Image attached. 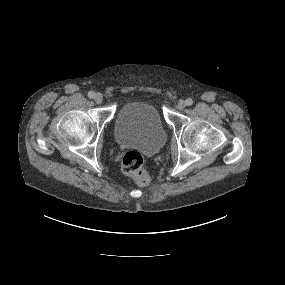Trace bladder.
I'll return each mask as SVG.
<instances>
[{"instance_id": "bladder-1", "label": "bladder", "mask_w": 285, "mask_h": 285, "mask_svg": "<svg viewBox=\"0 0 285 285\" xmlns=\"http://www.w3.org/2000/svg\"><path fill=\"white\" fill-rule=\"evenodd\" d=\"M115 139L121 146H135L148 154L159 151L166 132L154 105L144 101L124 104L116 117Z\"/></svg>"}]
</instances>
